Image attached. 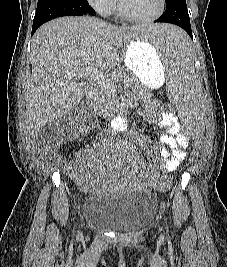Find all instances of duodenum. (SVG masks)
Instances as JSON below:
<instances>
[{
  "instance_id": "1",
  "label": "duodenum",
  "mask_w": 227,
  "mask_h": 267,
  "mask_svg": "<svg viewBox=\"0 0 227 267\" xmlns=\"http://www.w3.org/2000/svg\"><path fill=\"white\" fill-rule=\"evenodd\" d=\"M95 95H96V89L93 86L89 87L87 89V98L91 101V100H93ZM96 110H97V112H102L101 108H97Z\"/></svg>"
}]
</instances>
